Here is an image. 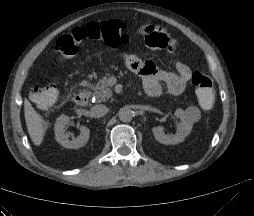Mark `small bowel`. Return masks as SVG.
I'll return each instance as SVG.
<instances>
[{
    "label": "small bowel",
    "mask_w": 254,
    "mask_h": 216,
    "mask_svg": "<svg viewBox=\"0 0 254 216\" xmlns=\"http://www.w3.org/2000/svg\"><path fill=\"white\" fill-rule=\"evenodd\" d=\"M145 41L153 51H171L176 45L171 34L163 29L148 30ZM118 57L130 70L142 76L145 91L154 97L161 96L164 89L172 96L181 95L191 78V70L183 62L176 63L173 70H164L151 61L140 60L126 52Z\"/></svg>",
    "instance_id": "c3829d8e"
}]
</instances>
